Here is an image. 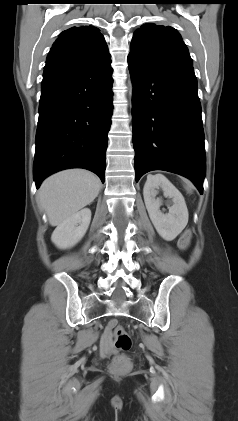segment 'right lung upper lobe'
Segmentation results:
<instances>
[{
    "label": "right lung upper lobe",
    "mask_w": 238,
    "mask_h": 421,
    "mask_svg": "<svg viewBox=\"0 0 238 421\" xmlns=\"http://www.w3.org/2000/svg\"><path fill=\"white\" fill-rule=\"evenodd\" d=\"M111 62L103 35L94 26L72 27L53 44L45 68Z\"/></svg>",
    "instance_id": "cb5924a9"
}]
</instances>
